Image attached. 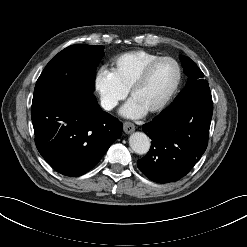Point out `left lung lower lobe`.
Wrapping results in <instances>:
<instances>
[{
    "instance_id": "left-lung-lower-lobe-1",
    "label": "left lung lower lobe",
    "mask_w": 247,
    "mask_h": 247,
    "mask_svg": "<svg viewBox=\"0 0 247 247\" xmlns=\"http://www.w3.org/2000/svg\"><path fill=\"white\" fill-rule=\"evenodd\" d=\"M213 102L203 87L174 106L164 109L142 126L151 148L137 166L157 183L175 182L200 160L208 144Z\"/></svg>"
}]
</instances>
